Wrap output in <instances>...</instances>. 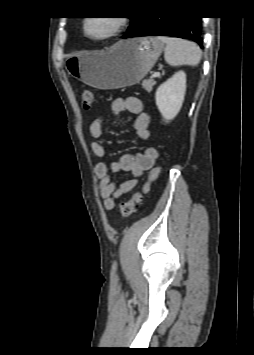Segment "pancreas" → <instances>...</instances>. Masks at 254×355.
<instances>
[{"instance_id":"pancreas-1","label":"pancreas","mask_w":254,"mask_h":355,"mask_svg":"<svg viewBox=\"0 0 254 355\" xmlns=\"http://www.w3.org/2000/svg\"><path fill=\"white\" fill-rule=\"evenodd\" d=\"M155 81L152 79L144 80L142 82V87L149 93L152 91Z\"/></svg>"}]
</instances>
